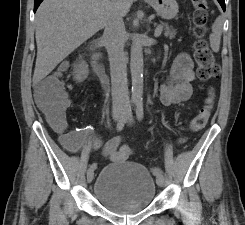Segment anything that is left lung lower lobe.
Segmentation results:
<instances>
[{"label":"left lung lower lobe","instance_id":"obj_1","mask_svg":"<svg viewBox=\"0 0 245 225\" xmlns=\"http://www.w3.org/2000/svg\"><path fill=\"white\" fill-rule=\"evenodd\" d=\"M217 1L220 3L222 9L225 11V1L224 0H217Z\"/></svg>","mask_w":245,"mask_h":225}]
</instances>
